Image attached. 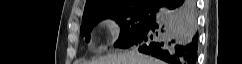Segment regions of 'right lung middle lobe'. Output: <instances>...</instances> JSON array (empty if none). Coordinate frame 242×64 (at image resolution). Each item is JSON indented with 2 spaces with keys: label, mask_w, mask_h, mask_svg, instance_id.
<instances>
[{
  "label": "right lung middle lobe",
  "mask_w": 242,
  "mask_h": 64,
  "mask_svg": "<svg viewBox=\"0 0 242 64\" xmlns=\"http://www.w3.org/2000/svg\"><path fill=\"white\" fill-rule=\"evenodd\" d=\"M105 18L114 19L121 27L115 47L127 48L137 37L143 34L156 20L157 9L141 6L127 10L94 14L83 18L80 33L89 42L90 32L95 24Z\"/></svg>",
  "instance_id": "obj_1"
}]
</instances>
